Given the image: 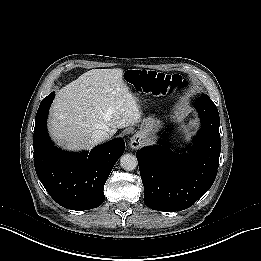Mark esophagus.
Here are the masks:
<instances>
[{"mask_svg":"<svg viewBox=\"0 0 261 261\" xmlns=\"http://www.w3.org/2000/svg\"><path fill=\"white\" fill-rule=\"evenodd\" d=\"M142 144H143V139L139 135H134L129 143L132 149H138L141 147Z\"/></svg>","mask_w":261,"mask_h":261,"instance_id":"obj_1","label":"esophagus"}]
</instances>
